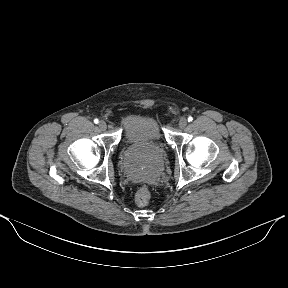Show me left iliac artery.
Here are the masks:
<instances>
[{
    "label": "left iliac artery",
    "mask_w": 288,
    "mask_h": 288,
    "mask_svg": "<svg viewBox=\"0 0 288 288\" xmlns=\"http://www.w3.org/2000/svg\"><path fill=\"white\" fill-rule=\"evenodd\" d=\"M193 121V117H188V122H192Z\"/></svg>",
    "instance_id": "obj_1"
}]
</instances>
